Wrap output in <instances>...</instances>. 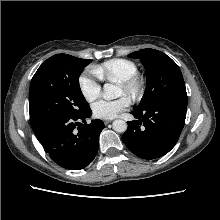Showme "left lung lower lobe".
Here are the masks:
<instances>
[{"mask_svg": "<svg viewBox=\"0 0 220 220\" xmlns=\"http://www.w3.org/2000/svg\"><path fill=\"white\" fill-rule=\"evenodd\" d=\"M187 94L164 98L144 110H134L138 120L130 121L122 140L142 159H155L177 143L185 124Z\"/></svg>", "mask_w": 220, "mask_h": 220, "instance_id": "obj_1", "label": "left lung lower lobe"}]
</instances>
